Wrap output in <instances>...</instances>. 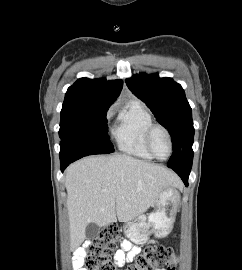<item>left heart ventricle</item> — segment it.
<instances>
[{
	"mask_svg": "<svg viewBox=\"0 0 242 270\" xmlns=\"http://www.w3.org/2000/svg\"><path fill=\"white\" fill-rule=\"evenodd\" d=\"M152 147L155 154L160 158H165L169 153V141L162 130H156L152 137Z\"/></svg>",
	"mask_w": 242,
	"mask_h": 270,
	"instance_id": "1",
	"label": "left heart ventricle"
}]
</instances>
